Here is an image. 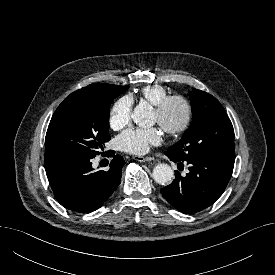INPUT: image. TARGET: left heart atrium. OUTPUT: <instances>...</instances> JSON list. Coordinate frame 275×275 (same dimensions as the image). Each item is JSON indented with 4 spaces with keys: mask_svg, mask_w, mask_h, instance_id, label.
I'll return each instance as SVG.
<instances>
[{
    "mask_svg": "<svg viewBox=\"0 0 275 275\" xmlns=\"http://www.w3.org/2000/svg\"><path fill=\"white\" fill-rule=\"evenodd\" d=\"M120 147L132 154H145L150 146L161 141V132L157 128H135L122 133L119 138Z\"/></svg>",
    "mask_w": 275,
    "mask_h": 275,
    "instance_id": "39dd6f15",
    "label": "left heart atrium"
}]
</instances>
